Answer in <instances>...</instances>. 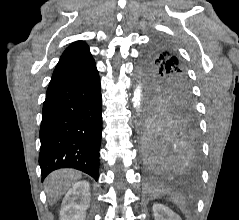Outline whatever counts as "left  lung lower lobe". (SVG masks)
<instances>
[{
	"label": "left lung lower lobe",
	"instance_id": "0a47b994",
	"mask_svg": "<svg viewBox=\"0 0 239 220\" xmlns=\"http://www.w3.org/2000/svg\"><path fill=\"white\" fill-rule=\"evenodd\" d=\"M198 148L194 112H159L146 123L142 152L150 168L192 164Z\"/></svg>",
	"mask_w": 239,
	"mask_h": 220
}]
</instances>
